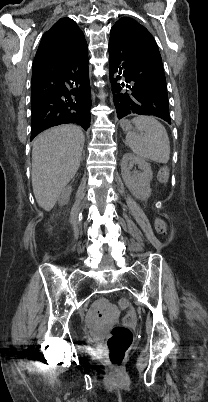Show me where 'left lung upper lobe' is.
Here are the masks:
<instances>
[{"mask_svg": "<svg viewBox=\"0 0 208 402\" xmlns=\"http://www.w3.org/2000/svg\"><path fill=\"white\" fill-rule=\"evenodd\" d=\"M114 26L122 29L134 39L141 38L136 44V70L143 76L150 78L162 87L167 88L161 55L158 46L149 31L137 21L129 17H122L114 24Z\"/></svg>", "mask_w": 208, "mask_h": 402, "instance_id": "left-lung-upper-lobe-1", "label": "left lung upper lobe"}]
</instances>
